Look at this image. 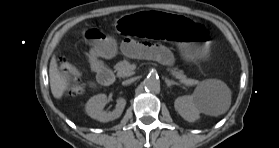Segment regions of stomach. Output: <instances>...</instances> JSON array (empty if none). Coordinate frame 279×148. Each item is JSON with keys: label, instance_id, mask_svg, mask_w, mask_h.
Listing matches in <instances>:
<instances>
[{"label": "stomach", "instance_id": "0dacf381", "mask_svg": "<svg viewBox=\"0 0 279 148\" xmlns=\"http://www.w3.org/2000/svg\"><path fill=\"white\" fill-rule=\"evenodd\" d=\"M117 28L126 35L135 34L177 47L190 61L205 59L218 42V31L210 20L170 8L150 10L142 7L135 14L122 16L117 21ZM78 42L98 58L110 57L116 50L114 35L104 25L83 26L78 33Z\"/></svg>", "mask_w": 279, "mask_h": 148}]
</instances>
